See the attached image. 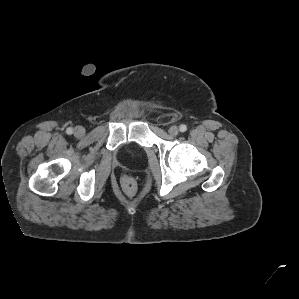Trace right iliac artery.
Wrapping results in <instances>:
<instances>
[{
  "instance_id": "obj_1",
  "label": "right iliac artery",
  "mask_w": 299,
  "mask_h": 299,
  "mask_svg": "<svg viewBox=\"0 0 299 299\" xmlns=\"http://www.w3.org/2000/svg\"><path fill=\"white\" fill-rule=\"evenodd\" d=\"M67 134H72L73 133V129L71 127L67 128L66 130Z\"/></svg>"
}]
</instances>
